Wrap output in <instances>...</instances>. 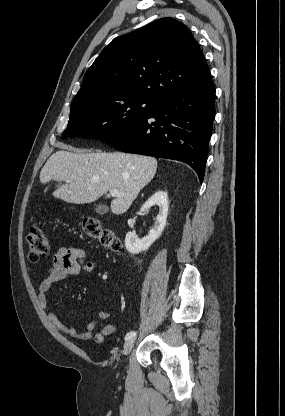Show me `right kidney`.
Instances as JSON below:
<instances>
[{"label": "right kidney", "mask_w": 285, "mask_h": 416, "mask_svg": "<svg viewBox=\"0 0 285 416\" xmlns=\"http://www.w3.org/2000/svg\"><path fill=\"white\" fill-rule=\"evenodd\" d=\"M159 206V214L156 218V222L150 230L148 236H145V238H138L136 234H133V232H128L126 234L125 238V248L130 252V254H140V252H145V250H148L150 248L151 244L161 236L165 226H166V218L168 214V196L167 192H156V194H153L145 204H143L140 212H146L148 208H151V206Z\"/></svg>", "instance_id": "ca27d5eb"}]
</instances>
